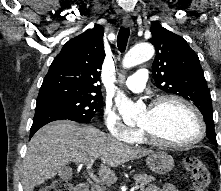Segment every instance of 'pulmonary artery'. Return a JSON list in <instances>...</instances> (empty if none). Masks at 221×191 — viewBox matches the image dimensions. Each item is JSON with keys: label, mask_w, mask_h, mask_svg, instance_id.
I'll return each instance as SVG.
<instances>
[{"label": "pulmonary artery", "mask_w": 221, "mask_h": 191, "mask_svg": "<svg viewBox=\"0 0 221 191\" xmlns=\"http://www.w3.org/2000/svg\"><path fill=\"white\" fill-rule=\"evenodd\" d=\"M147 77V70L145 68H140L132 76L127 78L125 87L133 92H141L146 86Z\"/></svg>", "instance_id": "pulmonary-artery-1"}]
</instances>
